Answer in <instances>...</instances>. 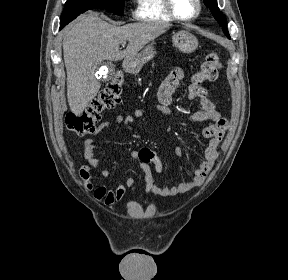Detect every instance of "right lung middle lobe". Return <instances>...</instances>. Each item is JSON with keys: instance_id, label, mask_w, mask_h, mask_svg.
I'll return each instance as SVG.
<instances>
[{"instance_id": "right-lung-middle-lobe-1", "label": "right lung middle lobe", "mask_w": 288, "mask_h": 280, "mask_svg": "<svg viewBox=\"0 0 288 280\" xmlns=\"http://www.w3.org/2000/svg\"><path fill=\"white\" fill-rule=\"evenodd\" d=\"M95 8L123 15L124 0H67L60 21Z\"/></svg>"}]
</instances>
